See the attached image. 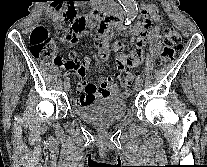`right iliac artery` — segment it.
I'll return each mask as SVG.
<instances>
[{
    "mask_svg": "<svg viewBox=\"0 0 207 167\" xmlns=\"http://www.w3.org/2000/svg\"><path fill=\"white\" fill-rule=\"evenodd\" d=\"M69 83V78H67L64 82V84Z\"/></svg>",
    "mask_w": 207,
    "mask_h": 167,
    "instance_id": "1",
    "label": "right iliac artery"
}]
</instances>
